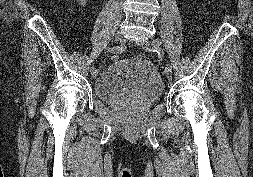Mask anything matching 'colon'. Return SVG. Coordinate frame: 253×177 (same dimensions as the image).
<instances>
[{
  "label": "colon",
  "mask_w": 253,
  "mask_h": 177,
  "mask_svg": "<svg viewBox=\"0 0 253 177\" xmlns=\"http://www.w3.org/2000/svg\"><path fill=\"white\" fill-rule=\"evenodd\" d=\"M112 60H113V61L119 60V55H117V54L113 55V56H112Z\"/></svg>",
  "instance_id": "obj_1"
}]
</instances>
